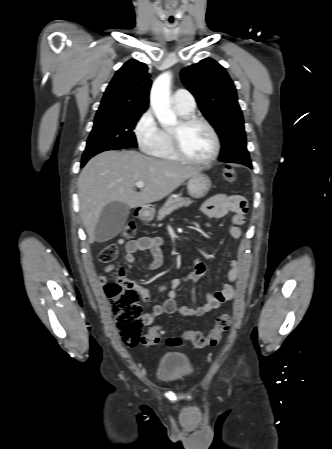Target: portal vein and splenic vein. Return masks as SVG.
Wrapping results in <instances>:
<instances>
[{
  "instance_id": "portal-vein-and-splenic-vein-1",
  "label": "portal vein and splenic vein",
  "mask_w": 332,
  "mask_h": 449,
  "mask_svg": "<svg viewBox=\"0 0 332 449\" xmlns=\"http://www.w3.org/2000/svg\"><path fill=\"white\" fill-rule=\"evenodd\" d=\"M145 186V184L142 182V181H138V182H136V187L137 188H143Z\"/></svg>"
}]
</instances>
